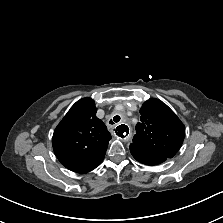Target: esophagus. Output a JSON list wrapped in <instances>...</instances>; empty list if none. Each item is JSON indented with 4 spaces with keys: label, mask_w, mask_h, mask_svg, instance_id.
<instances>
[{
    "label": "esophagus",
    "mask_w": 223,
    "mask_h": 223,
    "mask_svg": "<svg viewBox=\"0 0 223 223\" xmlns=\"http://www.w3.org/2000/svg\"><path fill=\"white\" fill-rule=\"evenodd\" d=\"M116 129H117L116 136H119L123 141H128L130 139L131 134L126 125L122 124L118 126Z\"/></svg>",
    "instance_id": "obj_1"
}]
</instances>
